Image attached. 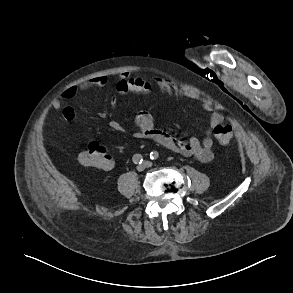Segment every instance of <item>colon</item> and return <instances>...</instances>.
<instances>
[{
    "instance_id": "1",
    "label": "colon",
    "mask_w": 293,
    "mask_h": 293,
    "mask_svg": "<svg viewBox=\"0 0 293 293\" xmlns=\"http://www.w3.org/2000/svg\"><path fill=\"white\" fill-rule=\"evenodd\" d=\"M214 135L219 143L228 144L233 135V128L230 124H219L214 128ZM110 156L104 145L93 142L86 150L79 154V162L87 167L105 169L110 165Z\"/></svg>"
}]
</instances>
